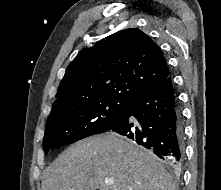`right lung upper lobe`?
Instances as JSON below:
<instances>
[{
	"instance_id": "right-lung-upper-lobe-1",
	"label": "right lung upper lobe",
	"mask_w": 221,
	"mask_h": 190,
	"mask_svg": "<svg viewBox=\"0 0 221 190\" xmlns=\"http://www.w3.org/2000/svg\"><path fill=\"white\" fill-rule=\"evenodd\" d=\"M169 75L159 46L141 30L125 29L76 56L60 82L52 111L105 98L129 101Z\"/></svg>"
}]
</instances>
